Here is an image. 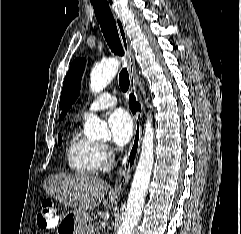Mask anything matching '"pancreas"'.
<instances>
[{
  "mask_svg": "<svg viewBox=\"0 0 241 234\" xmlns=\"http://www.w3.org/2000/svg\"><path fill=\"white\" fill-rule=\"evenodd\" d=\"M85 234H94L92 230L87 231Z\"/></svg>",
  "mask_w": 241,
  "mask_h": 234,
  "instance_id": "cf45deb5",
  "label": "pancreas"
}]
</instances>
